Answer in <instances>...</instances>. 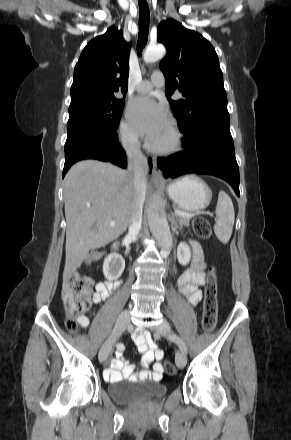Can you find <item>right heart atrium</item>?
<instances>
[{
  "label": "right heart atrium",
  "instance_id": "right-heart-atrium-1",
  "mask_svg": "<svg viewBox=\"0 0 291 440\" xmlns=\"http://www.w3.org/2000/svg\"><path fill=\"white\" fill-rule=\"evenodd\" d=\"M119 139L124 149L130 150L138 146L139 140L130 124L122 121L119 128Z\"/></svg>",
  "mask_w": 291,
  "mask_h": 440
}]
</instances>
